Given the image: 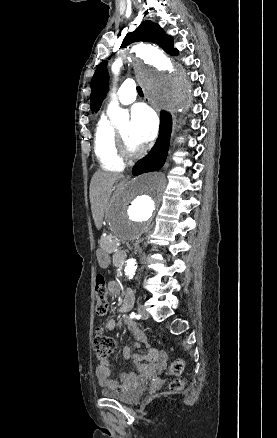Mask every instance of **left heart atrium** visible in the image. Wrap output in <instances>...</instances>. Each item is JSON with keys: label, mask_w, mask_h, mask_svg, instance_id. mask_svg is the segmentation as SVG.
<instances>
[{"label": "left heart atrium", "mask_w": 277, "mask_h": 438, "mask_svg": "<svg viewBox=\"0 0 277 438\" xmlns=\"http://www.w3.org/2000/svg\"><path fill=\"white\" fill-rule=\"evenodd\" d=\"M132 115V138L138 151L142 150L150 142L157 129V119L153 110L146 104H138L131 110Z\"/></svg>", "instance_id": "39dd6f15"}]
</instances>
